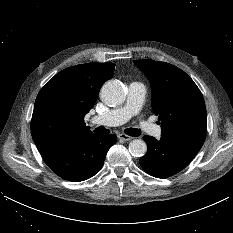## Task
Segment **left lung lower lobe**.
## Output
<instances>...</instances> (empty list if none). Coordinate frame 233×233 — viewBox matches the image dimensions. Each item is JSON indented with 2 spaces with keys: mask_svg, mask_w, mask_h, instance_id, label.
Instances as JSON below:
<instances>
[{
  "mask_svg": "<svg viewBox=\"0 0 233 233\" xmlns=\"http://www.w3.org/2000/svg\"><path fill=\"white\" fill-rule=\"evenodd\" d=\"M147 153L141 157V167L157 178L170 177L184 169L201 149L203 143L185 138H169L161 136L156 140L144 136Z\"/></svg>",
  "mask_w": 233,
  "mask_h": 233,
  "instance_id": "obj_1",
  "label": "left lung lower lobe"
}]
</instances>
